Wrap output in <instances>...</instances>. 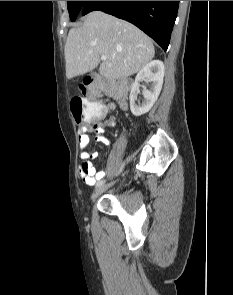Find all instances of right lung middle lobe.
Returning <instances> with one entry per match:
<instances>
[{
    "label": "right lung middle lobe",
    "mask_w": 233,
    "mask_h": 295,
    "mask_svg": "<svg viewBox=\"0 0 233 295\" xmlns=\"http://www.w3.org/2000/svg\"><path fill=\"white\" fill-rule=\"evenodd\" d=\"M68 2V11L71 21H74L82 10L86 1H67Z\"/></svg>",
    "instance_id": "dd1d6c3e"
}]
</instances>
